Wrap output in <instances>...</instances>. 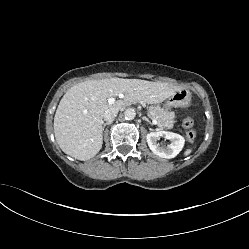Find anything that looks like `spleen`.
I'll list each match as a JSON object with an SVG mask.
<instances>
[{
	"label": "spleen",
	"mask_w": 249,
	"mask_h": 249,
	"mask_svg": "<svg viewBox=\"0 0 249 249\" xmlns=\"http://www.w3.org/2000/svg\"><path fill=\"white\" fill-rule=\"evenodd\" d=\"M191 152H192V149H187V150L184 152V155L187 156V155H189Z\"/></svg>",
	"instance_id": "spleen-1"
}]
</instances>
